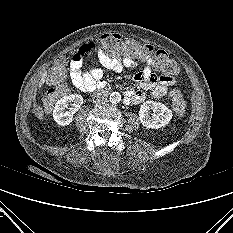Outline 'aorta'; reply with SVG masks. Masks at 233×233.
<instances>
[{
    "label": "aorta",
    "instance_id": "aorta-1",
    "mask_svg": "<svg viewBox=\"0 0 233 233\" xmlns=\"http://www.w3.org/2000/svg\"><path fill=\"white\" fill-rule=\"evenodd\" d=\"M110 102L111 103H113V104H117V103H119L120 102V100H121V95H120V93L119 92H112L111 94H110Z\"/></svg>",
    "mask_w": 233,
    "mask_h": 233
}]
</instances>
